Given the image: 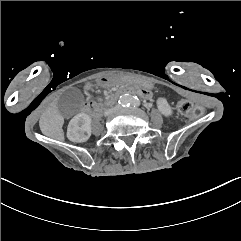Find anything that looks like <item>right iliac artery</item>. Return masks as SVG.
I'll return each mask as SVG.
<instances>
[{"label": "right iliac artery", "instance_id": "obj_1", "mask_svg": "<svg viewBox=\"0 0 241 241\" xmlns=\"http://www.w3.org/2000/svg\"><path fill=\"white\" fill-rule=\"evenodd\" d=\"M131 99L130 97H126L125 99L121 100V105L123 107H128L130 105Z\"/></svg>", "mask_w": 241, "mask_h": 241}]
</instances>
